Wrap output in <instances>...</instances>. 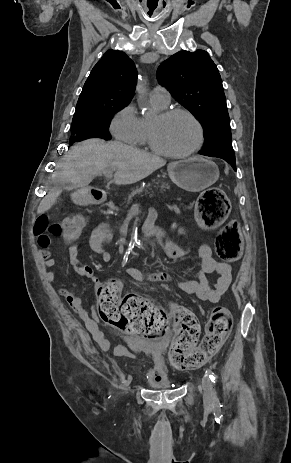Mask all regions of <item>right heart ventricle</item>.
<instances>
[{
  "label": "right heart ventricle",
  "instance_id": "right-heart-ventricle-1",
  "mask_svg": "<svg viewBox=\"0 0 291 463\" xmlns=\"http://www.w3.org/2000/svg\"><path fill=\"white\" fill-rule=\"evenodd\" d=\"M156 105L159 106L160 108L165 107L158 103H156ZM140 120H141V134H140L137 144H140V145L149 144V122H147L144 119H140Z\"/></svg>",
  "mask_w": 291,
  "mask_h": 463
}]
</instances>
